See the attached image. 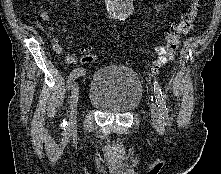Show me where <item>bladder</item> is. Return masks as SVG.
<instances>
[{"label": "bladder", "instance_id": "31cf9c89", "mask_svg": "<svg viewBox=\"0 0 221 174\" xmlns=\"http://www.w3.org/2000/svg\"><path fill=\"white\" fill-rule=\"evenodd\" d=\"M142 96L141 80L132 69L122 65H105L94 73L87 98L102 112L123 114L137 108Z\"/></svg>", "mask_w": 221, "mask_h": 174}]
</instances>
